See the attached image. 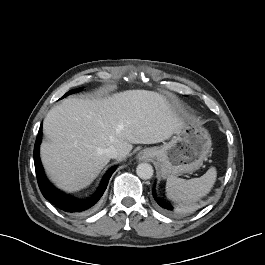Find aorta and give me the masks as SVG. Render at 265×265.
Instances as JSON below:
<instances>
[{
    "instance_id": "aorta-1",
    "label": "aorta",
    "mask_w": 265,
    "mask_h": 265,
    "mask_svg": "<svg viewBox=\"0 0 265 265\" xmlns=\"http://www.w3.org/2000/svg\"><path fill=\"white\" fill-rule=\"evenodd\" d=\"M153 167L148 163H141L136 168V173L139 178L148 180L153 176Z\"/></svg>"
}]
</instances>
